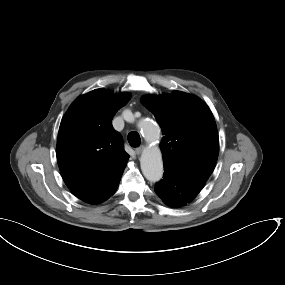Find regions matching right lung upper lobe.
Here are the masks:
<instances>
[{"label":"right lung upper lobe","instance_id":"1","mask_svg":"<svg viewBox=\"0 0 285 285\" xmlns=\"http://www.w3.org/2000/svg\"><path fill=\"white\" fill-rule=\"evenodd\" d=\"M130 98L96 89L78 97L61 121L56 156L62 178L87 203H101L118 188L129 155L111 122Z\"/></svg>","mask_w":285,"mask_h":285}]
</instances>
